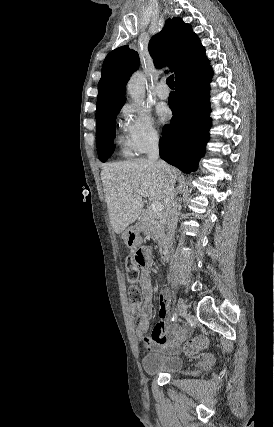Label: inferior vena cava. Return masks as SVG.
Returning a JSON list of instances; mask_svg holds the SVG:
<instances>
[{"mask_svg": "<svg viewBox=\"0 0 274 427\" xmlns=\"http://www.w3.org/2000/svg\"><path fill=\"white\" fill-rule=\"evenodd\" d=\"M146 150L148 160H159L158 136H151V138H148ZM162 168L165 172H169V166H165L164 164ZM164 206L166 210L167 247H171L177 225L178 212L174 182H170L165 190Z\"/></svg>", "mask_w": 274, "mask_h": 427, "instance_id": "obj_1", "label": "inferior vena cava"}]
</instances>
